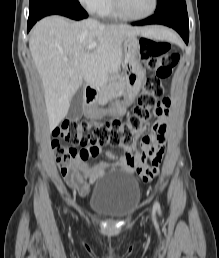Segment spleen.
<instances>
[{
	"label": "spleen",
	"mask_w": 219,
	"mask_h": 258,
	"mask_svg": "<svg viewBox=\"0 0 219 258\" xmlns=\"http://www.w3.org/2000/svg\"><path fill=\"white\" fill-rule=\"evenodd\" d=\"M165 34H166V36H167L169 39H176V36H175V38L169 36V35H168V34H169V31H167V30H166Z\"/></svg>",
	"instance_id": "1"
}]
</instances>
